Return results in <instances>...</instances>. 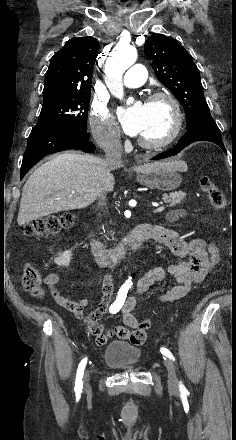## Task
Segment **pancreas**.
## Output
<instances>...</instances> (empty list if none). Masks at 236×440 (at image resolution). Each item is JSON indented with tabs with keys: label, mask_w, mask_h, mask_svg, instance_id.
<instances>
[{
	"label": "pancreas",
	"mask_w": 236,
	"mask_h": 440,
	"mask_svg": "<svg viewBox=\"0 0 236 440\" xmlns=\"http://www.w3.org/2000/svg\"><path fill=\"white\" fill-rule=\"evenodd\" d=\"M186 197V193L182 191L170 193L169 195H163V200L170 207H174L178 204H181Z\"/></svg>",
	"instance_id": "obj_1"
}]
</instances>
